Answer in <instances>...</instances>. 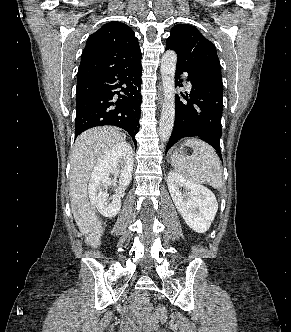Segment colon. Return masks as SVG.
<instances>
[{
  "label": "colon",
  "instance_id": "colon-1",
  "mask_svg": "<svg viewBox=\"0 0 291 332\" xmlns=\"http://www.w3.org/2000/svg\"><path fill=\"white\" fill-rule=\"evenodd\" d=\"M141 303L143 305V308L146 310V311H151L152 307H151V304L148 302V300L146 299H141Z\"/></svg>",
  "mask_w": 291,
  "mask_h": 332
}]
</instances>
